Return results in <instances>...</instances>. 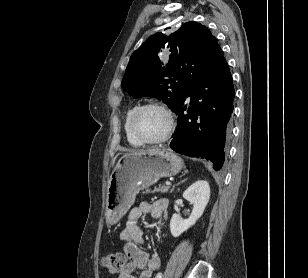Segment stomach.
I'll use <instances>...</instances> for the list:
<instances>
[{
	"mask_svg": "<svg viewBox=\"0 0 308 278\" xmlns=\"http://www.w3.org/2000/svg\"><path fill=\"white\" fill-rule=\"evenodd\" d=\"M183 164L178 155L166 150H149L122 156L108 180L106 224H116L133 205L139 191L155 184L162 177L176 175Z\"/></svg>",
	"mask_w": 308,
	"mask_h": 278,
	"instance_id": "1",
	"label": "stomach"
}]
</instances>
